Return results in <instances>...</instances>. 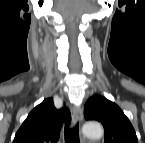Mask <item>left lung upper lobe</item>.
<instances>
[{
	"instance_id": "5c2ea615",
	"label": "left lung upper lobe",
	"mask_w": 145,
	"mask_h": 143,
	"mask_svg": "<svg viewBox=\"0 0 145 143\" xmlns=\"http://www.w3.org/2000/svg\"><path fill=\"white\" fill-rule=\"evenodd\" d=\"M84 117L102 123L105 143H138L135 130L123 111L102 96L95 95L87 101Z\"/></svg>"
}]
</instances>
